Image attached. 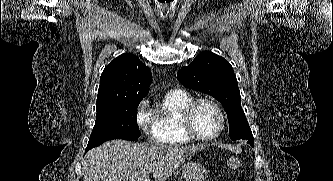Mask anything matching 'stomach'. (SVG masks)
<instances>
[{
  "label": "stomach",
  "instance_id": "obj_1",
  "mask_svg": "<svg viewBox=\"0 0 333 181\" xmlns=\"http://www.w3.org/2000/svg\"><path fill=\"white\" fill-rule=\"evenodd\" d=\"M192 156L189 159H191ZM182 171L186 181H205L208 173L207 169L202 164L192 161L184 164Z\"/></svg>",
  "mask_w": 333,
  "mask_h": 181
}]
</instances>
